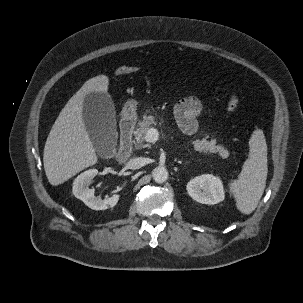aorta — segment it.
<instances>
[{
    "label": "aorta",
    "instance_id": "aorta-1",
    "mask_svg": "<svg viewBox=\"0 0 303 303\" xmlns=\"http://www.w3.org/2000/svg\"><path fill=\"white\" fill-rule=\"evenodd\" d=\"M153 179L156 183H164L168 179V171L165 167L158 166L152 172Z\"/></svg>",
    "mask_w": 303,
    "mask_h": 303
}]
</instances>
